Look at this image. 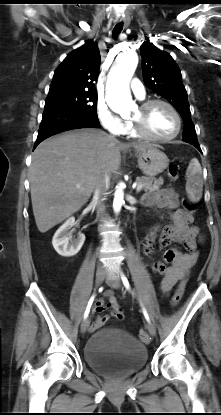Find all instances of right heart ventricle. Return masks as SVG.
Wrapping results in <instances>:
<instances>
[{
    "instance_id": "right-heart-ventricle-1",
    "label": "right heart ventricle",
    "mask_w": 221,
    "mask_h": 415,
    "mask_svg": "<svg viewBox=\"0 0 221 415\" xmlns=\"http://www.w3.org/2000/svg\"><path fill=\"white\" fill-rule=\"evenodd\" d=\"M126 133H127L129 136H131V137H137V136H138V135L135 133L134 129H133L132 123H129V124H128V128H127Z\"/></svg>"
}]
</instances>
